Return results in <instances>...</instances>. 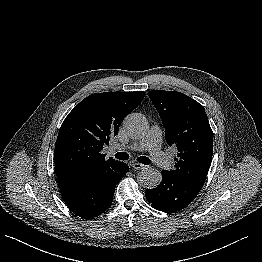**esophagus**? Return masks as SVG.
<instances>
[{
	"label": "esophagus",
	"mask_w": 262,
	"mask_h": 262,
	"mask_svg": "<svg viewBox=\"0 0 262 262\" xmlns=\"http://www.w3.org/2000/svg\"><path fill=\"white\" fill-rule=\"evenodd\" d=\"M132 167L136 170H142V169H147L150 168V166H145L140 163H132Z\"/></svg>",
	"instance_id": "obj_1"
}]
</instances>
